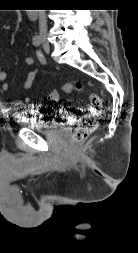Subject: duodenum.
I'll list each match as a JSON object with an SVG mask.
<instances>
[{"label":"duodenum","instance_id":"410a0bca","mask_svg":"<svg viewBox=\"0 0 138 253\" xmlns=\"http://www.w3.org/2000/svg\"><path fill=\"white\" fill-rule=\"evenodd\" d=\"M27 15L29 19L35 20L38 17V11L36 9H29Z\"/></svg>","mask_w":138,"mask_h":253}]
</instances>
